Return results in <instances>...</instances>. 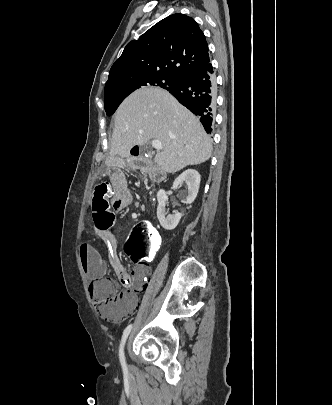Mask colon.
I'll list each match as a JSON object with an SVG mask.
<instances>
[{
  "mask_svg": "<svg viewBox=\"0 0 332 405\" xmlns=\"http://www.w3.org/2000/svg\"><path fill=\"white\" fill-rule=\"evenodd\" d=\"M113 197L112 186L108 182L97 185L94 189L92 215L95 229L107 232L114 221L110 199ZM162 238L149 221H140L132 226L125 256H133L136 267H145L153 262L159 250ZM144 271L145 268H144ZM136 290L119 291L118 284L110 277H99L90 286V293L100 314L106 318H117L124 315L126 306Z\"/></svg>",
  "mask_w": 332,
  "mask_h": 405,
  "instance_id": "5ec220e1",
  "label": "colon"
}]
</instances>
